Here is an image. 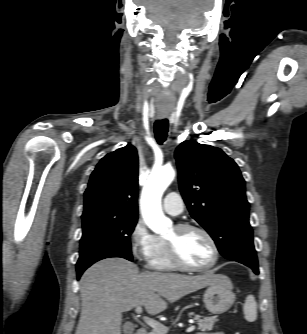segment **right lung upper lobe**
I'll return each mask as SVG.
<instances>
[{"label": "right lung upper lobe", "mask_w": 307, "mask_h": 334, "mask_svg": "<svg viewBox=\"0 0 307 334\" xmlns=\"http://www.w3.org/2000/svg\"><path fill=\"white\" fill-rule=\"evenodd\" d=\"M138 155L131 144L107 154L92 172L84 194L82 218L137 219Z\"/></svg>", "instance_id": "right-lung-upper-lobe-1"}]
</instances>
